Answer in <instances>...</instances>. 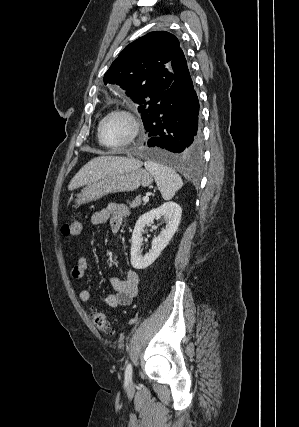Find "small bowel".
<instances>
[{"label": "small bowel", "instance_id": "obj_1", "mask_svg": "<svg viewBox=\"0 0 299 427\" xmlns=\"http://www.w3.org/2000/svg\"><path fill=\"white\" fill-rule=\"evenodd\" d=\"M129 215L126 205L109 203L105 208L94 213L91 217L93 225H102L109 221L113 233H117L122 225L123 219ZM89 261L86 257H80L71 269V275L74 279L80 280L85 276ZM111 286L116 290L115 294L103 296L102 301L109 307L126 306L130 304L138 293L140 277L139 274L130 270L124 279L117 276L109 278ZM80 300L87 305L92 302V294L88 289L80 292Z\"/></svg>", "mask_w": 299, "mask_h": 427}]
</instances>
